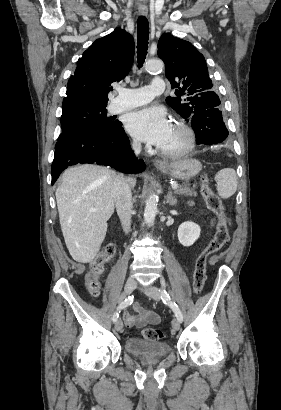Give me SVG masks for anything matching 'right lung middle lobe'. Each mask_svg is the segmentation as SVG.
<instances>
[{
	"label": "right lung middle lobe",
	"instance_id": "right-lung-middle-lobe-1",
	"mask_svg": "<svg viewBox=\"0 0 281 410\" xmlns=\"http://www.w3.org/2000/svg\"><path fill=\"white\" fill-rule=\"evenodd\" d=\"M106 106L88 103L62 106V133L58 141L81 131H102L116 127L120 122L107 117Z\"/></svg>",
	"mask_w": 281,
	"mask_h": 410
}]
</instances>
